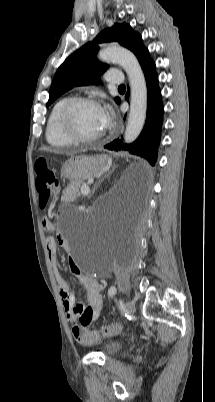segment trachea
<instances>
[{
  "mask_svg": "<svg viewBox=\"0 0 215 402\" xmlns=\"http://www.w3.org/2000/svg\"><path fill=\"white\" fill-rule=\"evenodd\" d=\"M125 88V85H120L119 89Z\"/></svg>",
  "mask_w": 215,
  "mask_h": 402,
  "instance_id": "trachea-1",
  "label": "trachea"
}]
</instances>
